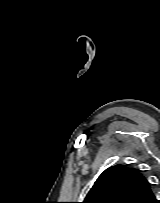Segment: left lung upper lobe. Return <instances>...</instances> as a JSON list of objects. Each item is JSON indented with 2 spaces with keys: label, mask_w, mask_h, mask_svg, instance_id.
Returning a JSON list of instances; mask_svg holds the SVG:
<instances>
[{
  "label": "left lung upper lobe",
  "mask_w": 160,
  "mask_h": 203,
  "mask_svg": "<svg viewBox=\"0 0 160 203\" xmlns=\"http://www.w3.org/2000/svg\"><path fill=\"white\" fill-rule=\"evenodd\" d=\"M82 203H160L151 184L135 168L115 165L96 180Z\"/></svg>",
  "instance_id": "obj_1"
}]
</instances>
